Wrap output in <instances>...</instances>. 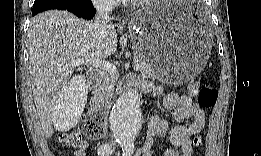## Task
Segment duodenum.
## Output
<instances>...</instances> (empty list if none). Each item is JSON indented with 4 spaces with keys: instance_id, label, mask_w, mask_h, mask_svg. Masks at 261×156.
Segmentation results:
<instances>
[{
    "instance_id": "obj_1",
    "label": "duodenum",
    "mask_w": 261,
    "mask_h": 156,
    "mask_svg": "<svg viewBox=\"0 0 261 156\" xmlns=\"http://www.w3.org/2000/svg\"><path fill=\"white\" fill-rule=\"evenodd\" d=\"M87 75H88V79L94 84H97L100 81L101 75H100V72L96 69L89 70ZM128 84L129 83H127V82L124 83V85H128ZM109 106H110V103L101 98H97L93 104V107L95 110H102L104 112L107 111Z\"/></svg>"
}]
</instances>
